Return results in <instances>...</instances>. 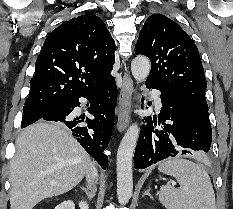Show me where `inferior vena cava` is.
Masks as SVG:
<instances>
[{
  "label": "inferior vena cava",
  "mask_w": 233,
  "mask_h": 209,
  "mask_svg": "<svg viewBox=\"0 0 233 209\" xmlns=\"http://www.w3.org/2000/svg\"><path fill=\"white\" fill-rule=\"evenodd\" d=\"M86 179L90 184L89 186H92V184L94 185L97 182L98 179L97 169L94 167L93 164L86 173Z\"/></svg>",
  "instance_id": "1"
}]
</instances>
